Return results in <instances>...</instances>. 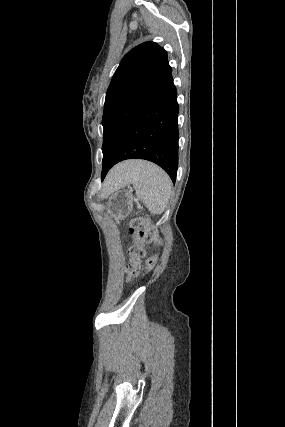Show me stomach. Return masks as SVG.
<instances>
[{"label":"stomach","mask_w":285,"mask_h":427,"mask_svg":"<svg viewBox=\"0 0 285 427\" xmlns=\"http://www.w3.org/2000/svg\"><path fill=\"white\" fill-rule=\"evenodd\" d=\"M106 209L109 216L115 220H122L130 214L133 207V194L130 189L120 187L108 194Z\"/></svg>","instance_id":"1"}]
</instances>
